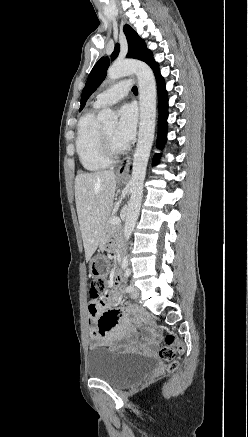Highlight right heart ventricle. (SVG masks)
I'll return each instance as SVG.
<instances>
[{
    "instance_id": "obj_1",
    "label": "right heart ventricle",
    "mask_w": 248,
    "mask_h": 437,
    "mask_svg": "<svg viewBox=\"0 0 248 437\" xmlns=\"http://www.w3.org/2000/svg\"><path fill=\"white\" fill-rule=\"evenodd\" d=\"M97 107L86 112L78 122L76 151L82 167L98 172L110 164L101 148V127L96 118Z\"/></svg>"
}]
</instances>
